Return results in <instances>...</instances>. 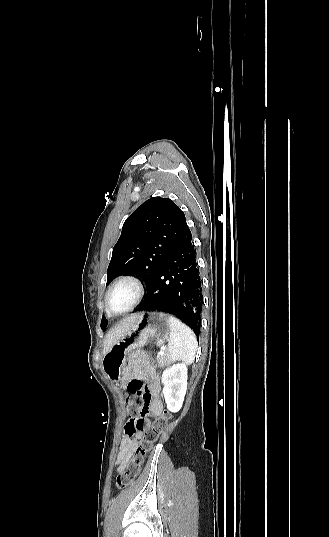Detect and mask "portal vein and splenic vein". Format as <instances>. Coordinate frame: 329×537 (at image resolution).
<instances>
[{"mask_svg": "<svg viewBox=\"0 0 329 537\" xmlns=\"http://www.w3.org/2000/svg\"><path fill=\"white\" fill-rule=\"evenodd\" d=\"M166 349L165 346H161V350L164 351Z\"/></svg>", "mask_w": 329, "mask_h": 537, "instance_id": "1", "label": "portal vein and splenic vein"}]
</instances>
